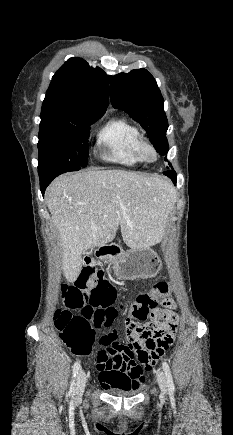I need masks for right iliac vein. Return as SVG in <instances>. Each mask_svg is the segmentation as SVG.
Segmentation results:
<instances>
[{"label": "right iliac vein", "mask_w": 233, "mask_h": 435, "mask_svg": "<svg viewBox=\"0 0 233 435\" xmlns=\"http://www.w3.org/2000/svg\"><path fill=\"white\" fill-rule=\"evenodd\" d=\"M85 385H86V374L83 370H80L77 373V377H76V385H75L76 399H80L82 397L85 389Z\"/></svg>", "instance_id": "obj_1"}]
</instances>
